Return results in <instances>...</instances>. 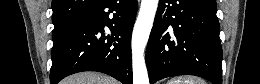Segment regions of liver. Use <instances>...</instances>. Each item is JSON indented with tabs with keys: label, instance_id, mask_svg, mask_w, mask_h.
<instances>
[{
	"label": "liver",
	"instance_id": "obj_1",
	"mask_svg": "<svg viewBox=\"0 0 260 84\" xmlns=\"http://www.w3.org/2000/svg\"><path fill=\"white\" fill-rule=\"evenodd\" d=\"M62 84H117V81L101 73L81 72L67 77Z\"/></svg>",
	"mask_w": 260,
	"mask_h": 84
}]
</instances>
